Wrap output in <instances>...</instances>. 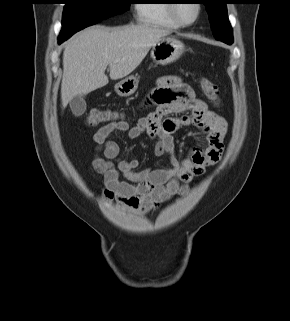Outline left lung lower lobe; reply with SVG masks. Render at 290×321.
I'll return each mask as SVG.
<instances>
[{"label": "left lung lower lobe", "mask_w": 290, "mask_h": 321, "mask_svg": "<svg viewBox=\"0 0 290 321\" xmlns=\"http://www.w3.org/2000/svg\"><path fill=\"white\" fill-rule=\"evenodd\" d=\"M222 42H224V43H226L228 45H231L233 43V40H224Z\"/></svg>", "instance_id": "1"}]
</instances>
